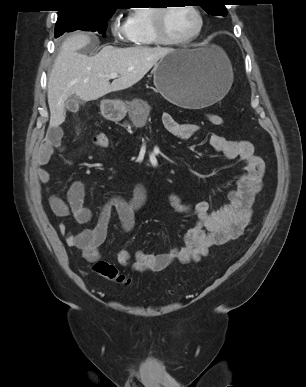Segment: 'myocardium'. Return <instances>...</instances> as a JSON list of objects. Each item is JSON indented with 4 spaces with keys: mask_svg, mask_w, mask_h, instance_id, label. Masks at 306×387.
<instances>
[{
    "mask_svg": "<svg viewBox=\"0 0 306 387\" xmlns=\"http://www.w3.org/2000/svg\"><path fill=\"white\" fill-rule=\"evenodd\" d=\"M189 7L197 17V27L192 34L183 39L170 38L165 31L164 19L165 14L170 7L161 6L153 9L151 14V27L155 40L158 44L168 46H182L187 45L196 40L201 34L204 27V17L201 10L193 4L186 5Z\"/></svg>",
    "mask_w": 306,
    "mask_h": 387,
    "instance_id": "f54148a6",
    "label": "myocardium"
}]
</instances>
